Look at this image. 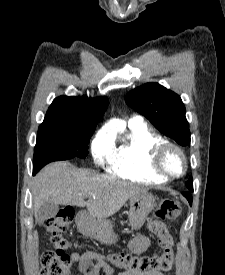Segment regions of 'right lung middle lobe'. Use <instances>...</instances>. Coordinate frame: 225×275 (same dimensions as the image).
<instances>
[{"label": "right lung middle lobe", "instance_id": "dd1d6c3e", "mask_svg": "<svg viewBox=\"0 0 225 275\" xmlns=\"http://www.w3.org/2000/svg\"><path fill=\"white\" fill-rule=\"evenodd\" d=\"M96 124L71 121H44L37 134L34 149L33 174L56 160L85 158L88 143Z\"/></svg>", "mask_w": 225, "mask_h": 275}]
</instances>
